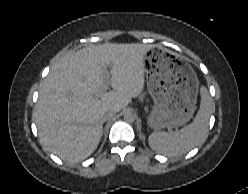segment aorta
<instances>
[{
	"mask_svg": "<svg viewBox=\"0 0 248 194\" xmlns=\"http://www.w3.org/2000/svg\"><path fill=\"white\" fill-rule=\"evenodd\" d=\"M124 120H125L126 122H129V123L134 122V121H135V114L132 113V112H126V113L124 114Z\"/></svg>",
	"mask_w": 248,
	"mask_h": 194,
	"instance_id": "obj_1",
	"label": "aorta"
}]
</instances>
